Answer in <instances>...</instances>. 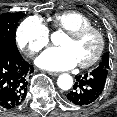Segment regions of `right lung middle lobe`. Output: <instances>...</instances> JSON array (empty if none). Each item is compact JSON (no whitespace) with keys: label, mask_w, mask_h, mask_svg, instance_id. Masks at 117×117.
I'll return each instance as SVG.
<instances>
[{"label":"right lung middle lobe","mask_w":117,"mask_h":117,"mask_svg":"<svg viewBox=\"0 0 117 117\" xmlns=\"http://www.w3.org/2000/svg\"><path fill=\"white\" fill-rule=\"evenodd\" d=\"M24 13H3L0 15V48H17L15 42L16 24Z\"/></svg>","instance_id":"1"}]
</instances>
